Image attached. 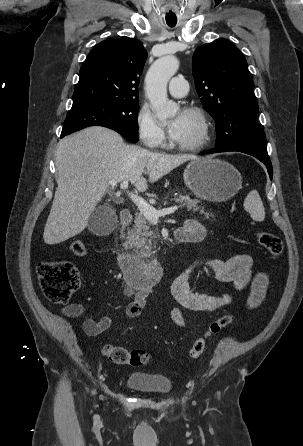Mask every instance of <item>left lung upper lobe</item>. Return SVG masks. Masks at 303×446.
<instances>
[{"label":"left lung upper lobe","instance_id":"obj_1","mask_svg":"<svg viewBox=\"0 0 303 446\" xmlns=\"http://www.w3.org/2000/svg\"><path fill=\"white\" fill-rule=\"evenodd\" d=\"M192 71L201 102L216 122V150L268 156L254 82L239 49L226 40L204 44L194 52Z\"/></svg>","mask_w":303,"mask_h":446}]
</instances>
